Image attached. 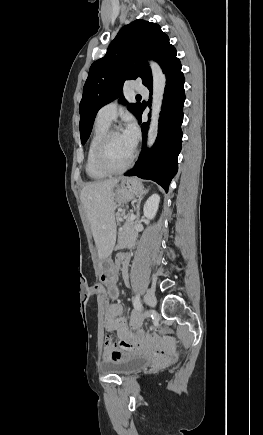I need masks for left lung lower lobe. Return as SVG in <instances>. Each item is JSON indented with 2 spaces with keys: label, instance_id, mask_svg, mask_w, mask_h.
Instances as JSON below:
<instances>
[{
  "label": "left lung lower lobe",
  "instance_id": "0a47b994",
  "mask_svg": "<svg viewBox=\"0 0 263 435\" xmlns=\"http://www.w3.org/2000/svg\"><path fill=\"white\" fill-rule=\"evenodd\" d=\"M165 74L167 84L156 142L148 152L139 157L135 167L124 175L153 180L167 192L172 178L177 173V158L181 150L183 135L181 124L183 121L185 93L184 75L181 72L180 60L176 59ZM148 89L152 91V86L148 87ZM143 110L142 108L138 116L140 122ZM148 125L149 123L141 125L144 141L146 140Z\"/></svg>",
  "mask_w": 263,
  "mask_h": 435
}]
</instances>
